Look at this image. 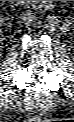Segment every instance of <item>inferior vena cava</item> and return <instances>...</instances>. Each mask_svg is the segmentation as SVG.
Listing matches in <instances>:
<instances>
[{
    "label": "inferior vena cava",
    "instance_id": "1",
    "mask_svg": "<svg viewBox=\"0 0 74 122\" xmlns=\"http://www.w3.org/2000/svg\"><path fill=\"white\" fill-rule=\"evenodd\" d=\"M20 18L26 25H33L36 21L35 13L30 10L24 11Z\"/></svg>",
    "mask_w": 74,
    "mask_h": 122
}]
</instances>
